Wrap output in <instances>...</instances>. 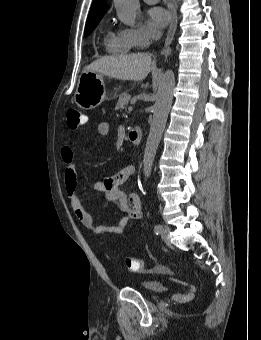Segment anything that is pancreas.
I'll return each instance as SVG.
<instances>
[{"label": "pancreas", "instance_id": "obj_1", "mask_svg": "<svg viewBox=\"0 0 261 340\" xmlns=\"http://www.w3.org/2000/svg\"><path fill=\"white\" fill-rule=\"evenodd\" d=\"M130 99H131V96L129 94L127 93L120 94L115 110L123 109L125 105L128 104Z\"/></svg>", "mask_w": 261, "mask_h": 340}]
</instances>
